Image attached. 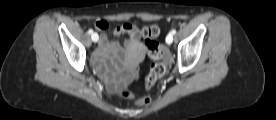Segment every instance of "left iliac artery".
I'll list each match as a JSON object with an SVG mask.
<instances>
[{
  "instance_id": "1",
  "label": "left iliac artery",
  "mask_w": 276,
  "mask_h": 120,
  "mask_svg": "<svg viewBox=\"0 0 276 120\" xmlns=\"http://www.w3.org/2000/svg\"><path fill=\"white\" fill-rule=\"evenodd\" d=\"M170 33L174 35L176 33V29H172Z\"/></svg>"
}]
</instances>
